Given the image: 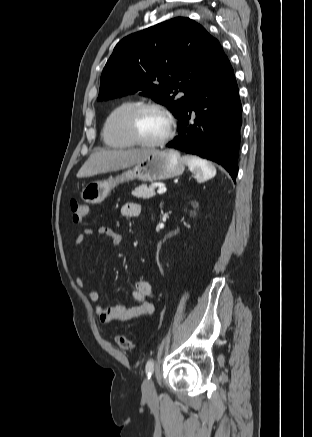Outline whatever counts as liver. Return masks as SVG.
Instances as JSON below:
<instances>
[{
	"label": "liver",
	"instance_id": "6515ba94",
	"mask_svg": "<svg viewBox=\"0 0 312 437\" xmlns=\"http://www.w3.org/2000/svg\"><path fill=\"white\" fill-rule=\"evenodd\" d=\"M151 150H97L93 152L77 173L78 178L128 168L144 159Z\"/></svg>",
	"mask_w": 312,
	"mask_h": 437
}]
</instances>
